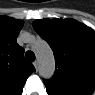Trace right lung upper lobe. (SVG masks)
<instances>
[{
    "label": "right lung upper lobe",
    "mask_w": 95,
    "mask_h": 95,
    "mask_svg": "<svg viewBox=\"0 0 95 95\" xmlns=\"http://www.w3.org/2000/svg\"><path fill=\"white\" fill-rule=\"evenodd\" d=\"M22 26L20 20L0 17V95H21L27 78L35 71L16 42Z\"/></svg>",
    "instance_id": "right-lung-upper-lobe-1"
}]
</instances>
